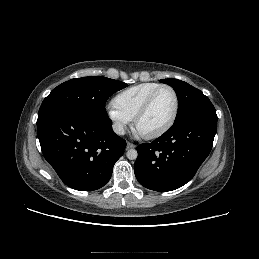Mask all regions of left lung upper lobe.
Masks as SVG:
<instances>
[{"label":"left lung upper lobe","mask_w":259,"mask_h":259,"mask_svg":"<svg viewBox=\"0 0 259 259\" xmlns=\"http://www.w3.org/2000/svg\"><path fill=\"white\" fill-rule=\"evenodd\" d=\"M160 81L173 87L178 95L179 109L175 122L190 116L217 118L213 104L197 88L178 79H162Z\"/></svg>","instance_id":"1"}]
</instances>
